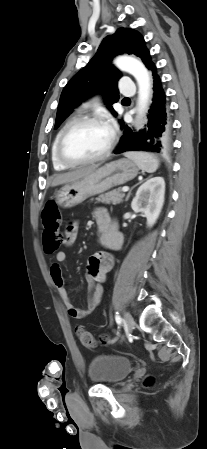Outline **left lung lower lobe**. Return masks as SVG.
Segmentation results:
<instances>
[{
    "label": "left lung lower lobe",
    "instance_id": "1",
    "mask_svg": "<svg viewBox=\"0 0 207 449\" xmlns=\"http://www.w3.org/2000/svg\"><path fill=\"white\" fill-rule=\"evenodd\" d=\"M148 69L153 80V98L147 124L138 132L126 126L115 154L126 151L166 153L170 148L171 116L167 97L155 64L152 62Z\"/></svg>",
    "mask_w": 207,
    "mask_h": 449
}]
</instances>
